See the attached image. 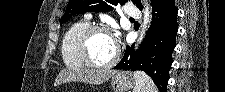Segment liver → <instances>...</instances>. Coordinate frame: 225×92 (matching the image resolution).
Returning <instances> with one entry per match:
<instances>
[{"label":"liver","instance_id":"obj_1","mask_svg":"<svg viewBox=\"0 0 225 92\" xmlns=\"http://www.w3.org/2000/svg\"><path fill=\"white\" fill-rule=\"evenodd\" d=\"M115 73L116 71L114 70L104 69H62L55 79L54 86L70 82L100 85Z\"/></svg>","mask_w":225,"mask_h":92}]
</instances>
